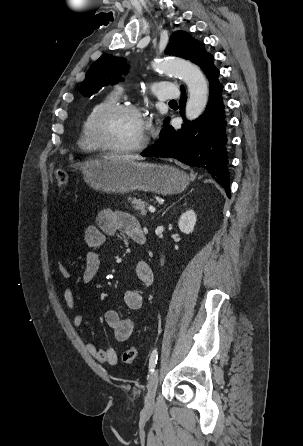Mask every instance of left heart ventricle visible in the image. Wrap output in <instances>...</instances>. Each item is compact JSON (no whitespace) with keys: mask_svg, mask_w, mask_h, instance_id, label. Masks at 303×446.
<instances>
[{"mask_svg":"<svg viewBox=\"0 0 303 446\" xmlns=\"http://www.w3.org/2000/svg\"><path fill=\"white\" fill-rule=\"evenodd\" d=\"M102 134L115 146L136 144L146 135L143 117L130 112L112 114L105 119Z\"/></svg>","mask_w":303,"mask_h":446,"instance_id":"1","label":"left heart ventricle"}]
</instances>
